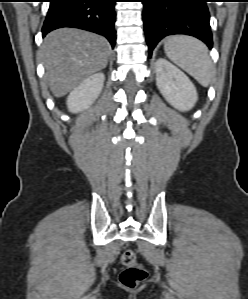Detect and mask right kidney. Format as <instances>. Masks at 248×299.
Masks as SVG:
<instances>
[{
  "mask_svg": "<svg viewBox=\"0 0 248 299\" xmlns=\"http://www.w3.org/2000/svg\"><path fill=\"white\" fill-rule=\"evenodd\" d=\"M105 76L96 73L79 83L67 97V107L71 113H78L88 109L100 95Z\"/></svg>",
  "mask_w": 248,
  "mask_h": 299,
  "instance_id": "1",
  "label": "right kidney"
}]
</instances>
